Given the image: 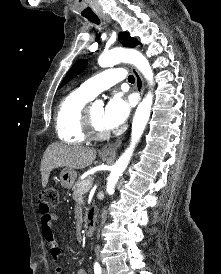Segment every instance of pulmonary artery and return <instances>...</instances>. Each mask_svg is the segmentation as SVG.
Listing matches in <instances>:
<instances>
[{
    "instance_id": "obj_1",
    "label": "pulmonary artery",
    "mask_w": 221,
    "mask_h": 274,
    "mask_svg": "<svg viewBox=\"0 0 221 274\" xmlns=\"http://www.w3.org/2000/svg\"><path fill=\"white\" fill-rule=\"evenodd\" d=\"M125 76V71L121 68L108 69L86 80L80 88L94 97L123 80Z\"/></svg>"
}]
</instances>
